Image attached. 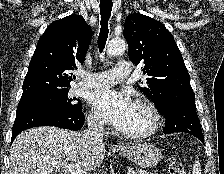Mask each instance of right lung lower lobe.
I'll return each mask as SVG.
<instances>
[{"label": "right lung lower lobe", "mask_w": 224, "mask_h": 174, "mask_svg": "<svg viewBox=\"0 0 224 174\" xmlns=\"http://www.w3.org/2000/svg\"><path fill=\"white\" fill-rule=\"evenodd\" d=\"M84 113L80 111L61 112L42 104H25L17 107L11 142L23 130L38 126H56L79 130L84 124Z\"/></svg>", "instance_id": "98d812e1"}]
</instances>
